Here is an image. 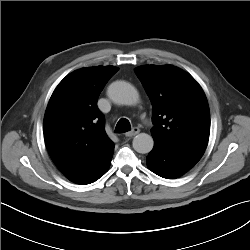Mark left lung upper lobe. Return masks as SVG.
<instances>
[{
    "label": "left lung upper lobe",
    "mask_w": 250,
    "mask_h": 250,
    "mask_svg": "<svg viewBox=\"0 0 250 250\" xmlns=\"http://www.w3.org/2000/svg\"><path fill=\"white\" fill-rule=\"evenodd\" d=\"M135 72L152 103L154 142L204 152L210 134V112L200 85L170 65H144Z\"/></svg>",
    "instance_id": "5c2ea615"
}]
</instances>
